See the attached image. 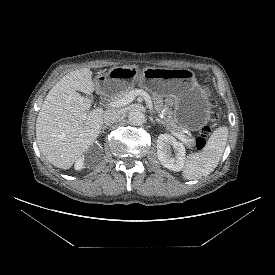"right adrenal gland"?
<instances>
[{
	"instance_id": "1",
	"label": "right adrenal gland",
	"mask_w": 275,
	"mask_h": 275,
	"mask_svg": "<svg viewBox=\"0 0 275 275\" xmlns=\"http://www.w3.org/2000/svg\"><path fill=\"white\" fill-rule=\"evenodd\" d=\"M106 128H107V126H102L101 133H103Z\"/></svg>"
}]
</instances>
